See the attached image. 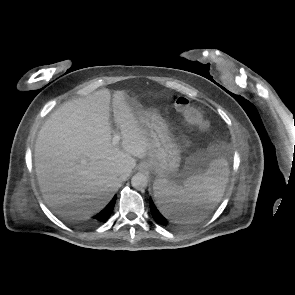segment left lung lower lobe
I'll list each match as a JSON object with an SVG mask.
<instances>
[{
    "label": "left lung lower lobe",
    "mask_w": 295,
    "mask_h": 295,
    "mask_svg": "<svg viewBox=\"0 0 295 295\" xmlns=\"http://www.w3.org/2000/svg\"><path fill=\"white\" fill-rule=\"evenodd\" d=\"M150 208L152 212V216L155 219L156 222H158L161 225H168L167 219L159 212L157 207L155 206L154 202L150 199Z\"/></svg>",
    "instance_id": "left-lung-lower-lobe-1"
}]
</instances>
